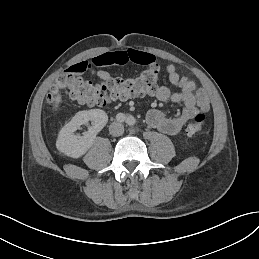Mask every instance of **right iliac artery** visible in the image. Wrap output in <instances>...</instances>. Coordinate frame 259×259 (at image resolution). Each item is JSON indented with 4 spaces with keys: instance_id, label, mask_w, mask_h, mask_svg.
<instances>
[{
    "instance_id": "right-iliac-artery-1",
    "label": "right iliac artery",
    "mask_w": 259,
    "mask_h": 259,
    "mask_svg": "<svg viewBox=\"0 0 259 259\" xmlns=\"http://www.w3.org/2000/svg\"><path fill=\"white\" fill-rule=\"evenodd\" d=\"M116 120L119 122H124V121H126V116L123 113H118L116 115Z\"/></svg>"
}]
</instances>
